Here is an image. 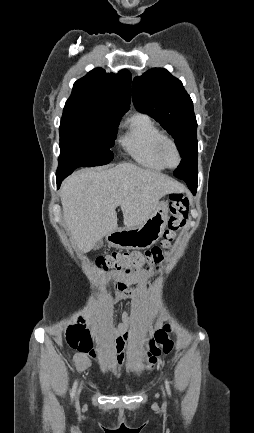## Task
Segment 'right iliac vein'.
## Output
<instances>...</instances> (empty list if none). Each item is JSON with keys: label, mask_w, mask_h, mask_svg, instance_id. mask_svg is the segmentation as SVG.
Masks as SVG:
<instances>
[{"label": "right iliac vein", "mask_w": 254, "mask_h": 433, "mask_svg": "<svg viewBox=\"0 0 254 433\" xmlns=\"http://www.w3.org/2000/svg\"><path fill=\"white\" fill-rule=\"evenodd\" d=\"M80 391H81V386L79 387V390H78V393H77V397L79 396Z\"/></svg>", "instance_id": "right-iliac-vein-1"}]
</instances>
